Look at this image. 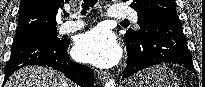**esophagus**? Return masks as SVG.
Instances as JSON below:
<instances>
[{
	"label": "esophagus",
	"instance_id": "esophagus-1",
	"mask_svg": "<svg viewBox=\"0 0 205 87\" xmlns=\"http://www.w3.org/2000/svg\"><path fill=\"white\" fill-rule=\"evenodd\" d=\"M109 72H107V71H102V70H100V71H98V76H99V79H101V80H106V79H108L109 78Z\"/></svg>",
	"mask_w": 205,
	"mask_h": 87
}]
</instances>
